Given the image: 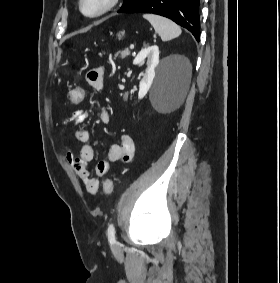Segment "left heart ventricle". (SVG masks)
<instances>
[{
  "label": "left heart ventricle",
  "instance_id": "obj_1",
  "mask_svg": "<svg viewBox=\"0 0 280 283\" xmlns=\"http://www.w3.org/2000/svg\"><path fill=\"white\" fill-rule=\"evenodd\" d=\"M104 0H85L84 1V10L87 13H93L101 8Z\"/></svg>",
  "mask_w": 280,
  "mask_h": 283
}]
</instances>
